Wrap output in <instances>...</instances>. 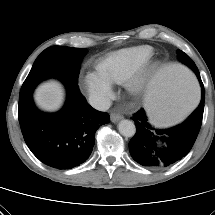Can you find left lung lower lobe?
Here are the masks:
<instances>
[{"label":"left lung lower lobe","mask_w":215,"mask_h":215,"mask_svg":"<svg viewBox=\"0 0 215 215\" xmlns=\"http://www.w3.org/2000/svg\"><path fill=\"white\" fill-rule=\"evenodd\" d=\"M197 77L202 87V99L183 123L169 129L157 130L149 124L144 109L133 115L136 134L129 142V150L136 162L148 168H164L189 153L199 133L204 111L205 90L200 74Z\"/></svg>","instance_id":"obj_1"}]
</instances>
